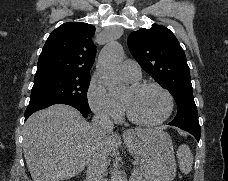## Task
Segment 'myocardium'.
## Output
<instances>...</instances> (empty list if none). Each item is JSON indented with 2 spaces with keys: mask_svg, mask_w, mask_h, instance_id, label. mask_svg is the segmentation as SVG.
<instances>
[{
  "mask_svg": "<svg viewBox=\"0 0 228 181\" xmlns=\"http://www.w3.org/2000/svg\"><path fill=\"white\" fill-rule=\"evenodd\" d=\"M131 81V85H130V89L133 91H140L144 88L147 87H152L157 89L158 91H160L162 93V95L165 98V109L162 113V115L154 120H143L138 118L131 110L129 104L127 102L124 101V107L127 113L128 118L135 124L138 125H142V126H156L158 124H161L162 122H164L170 115L171 110H172V97L169 94L168 91H166L161 85H159L156 82H151V81Z\"/></svg>",
  "mask_w": 228,
  "mask_h": 181,
  "instance_id": "obj_1",
  "label": "myocardium"
}]
</instances>
